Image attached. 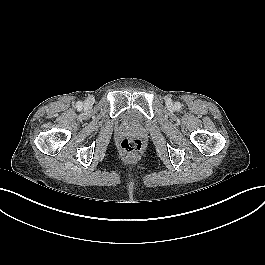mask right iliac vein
<instances>
[{
  "mask_svg": "<svg viewBox=\"0 0 265 265\" xmlns=\"http://www.w3.org/2000/svg\"><path fill=\"white\" fill-rule=\"evenodd\" d=\"M85 105H86V106H88V105H89V102H88V101H87V102H85Z\"/></svg>",
  "mask_w": 265,
  "mask_h": 265,
  "instance_id": "obj_1",
  "label": "right iliac vein"
}]
</instances>
